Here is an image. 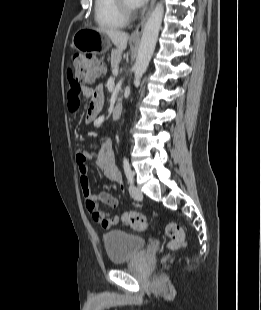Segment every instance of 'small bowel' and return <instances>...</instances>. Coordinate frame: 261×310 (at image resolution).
Instances as JSON below:
<instances>
[{
	"mask_svg": "<svg viewBox=\"0 0 261 310\" xmlns=\"http://www.w3.org/2000/svg\"><path fill=\"white\" fill-rule=\"evenodd\" d=\"M78 95L89 100V106L85 116L86 122L89 124L95 123L103 105L101 87L79 86L72 83L69 94L70 108L72 110L77 107ZM90 159L95 160L96 166L107 179L115 183L119 188H123L122 176L115 166V156L111 141L109 139L100 140L96 154H93L87 149H79L75 156L86 208L96 222L100 223L104 228H111L119 223L120 217L118 215L110 216L104 213L100 210L99 203L102 202L114 208L118 205V200L107 192H100L98 194L92 192L87 166V161Z\"/></svg>",
	"mask_w": 261,
	"mask_h": 310,
	"instance_id": "1",
	"label": "small bowel"
}]
</instances>
